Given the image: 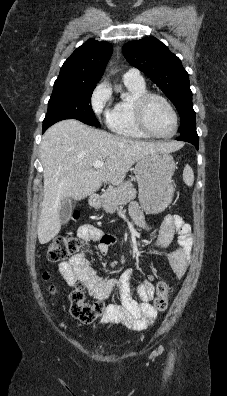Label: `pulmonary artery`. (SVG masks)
Wrapping results in <instances>:
<instances>
[{
  "instance_id": "1",
  "label": "pulmonary artery",
  "mask_w": 227,
  "mask_h": 396,
  "mask_svg": "<svg viewBox=\"0 0 227 396\" xmlns=\"http://www.w3.org/2000/svg\"><path fill=\"white\" fill-rule=\"evenodd\" d=\"M123 79L126 81H135V82H140V83L144 82L142 75L135 68H131V69L127 70L123 75Z\"/></svg>"
}]
</instances>
